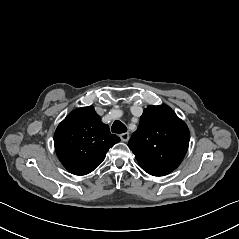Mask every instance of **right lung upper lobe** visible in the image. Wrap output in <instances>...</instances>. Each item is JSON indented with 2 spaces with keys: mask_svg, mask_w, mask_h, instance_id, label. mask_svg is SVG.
Instances as JSON below:
<instances>
[{
  "mask_svg": "<svg viewBox=\"0 0 239 239\" xmlns=\"http://www.w3.org/2000/svg\"><path fill=\"white\" fill-rule=\"evenodd\" d=\"M120 138L111 134L101 122L93 106L71 112L58 126L54 135L57 156L74 175L92 172L105 158L109 148Z\"/></svg>",
  "mask_w": 239,
  "mask_h": 239,
  "instance_id": "right-lung-upper-lobe-1",
  "label": "right lung upper lobe"
}]
</instances>
